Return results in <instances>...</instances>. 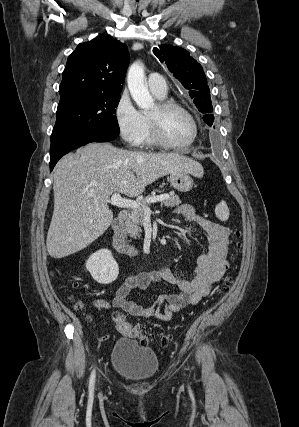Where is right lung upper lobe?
I'll list each match as a JSON object with an SVG mask.
<instances>
[{
	"instance_id": "cb5924a9",
	"label": "right lung upper lobe",
	"mask_w": 299,
	"mask_h": 427,
	"mask_svg": "<svg viewBox=\"0 0 299 427\" xmlns=\"http://www.w3.org/2000/svg\"><path fill=\"white\" fill-rule=\"evenodd\" d=\"M128 63L127 46L111 37L79 44L63 71L60 99L89 92L119 94Z\"/></svg>"
}]
</instances>
